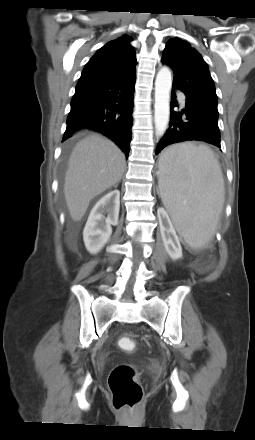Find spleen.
<instances>
[{"label":"spleen","mask_w":255,"mask_h":440,"mask_svg":"<svg viewBox=\"0 0 255 440\" xmlns=\"http://www.w3.org/2000/svg\"><path fill=\"white\" fill-rule=\"evenodd\" d=\"M161 199L177 231L192 248L213 238L223 209L225 189L220 165L205 146L169 147L159 165Z\"/></svg>","instance_id":"1"}]
</instances>
